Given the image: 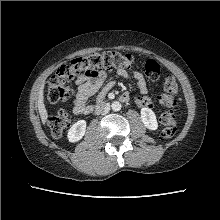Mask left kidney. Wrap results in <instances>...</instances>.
Masks as SVG:
<instances>
[{
    "instance_id": "1",
    "label": "left kidney",
    "mask_w": 220,
    "mask_h": 220,
    "mask_svg": "<svg viewBox=\"0 0 220 220\" xmlns=\"http://www.w3.org/2000/svg\"><path fill=\"white\" fill-rule=\"evenodd\" d=\"M140 114L141 120L147 129L156 130L158 128L156 115L150 108H142Z\"/></svg>"
}]
</instances>
